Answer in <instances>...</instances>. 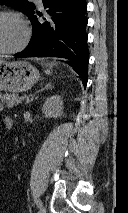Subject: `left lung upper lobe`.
I'll return each mask as SVG.
<instances>
[{
    "label": "left lung upper lobe",
    "instance_id": "obj_1",
    "mask_svg": "<svg viewBox=\"0 0 128 213\" xmlns=\"http://www.w3.org/2000/svg\"><path fill=\"white\" fill-rule=\"evenodd\" d=\"M0 4H5L7 6L17 8L18 10L25 13L28 17L35 9L33 3H30L28 0H0Z\"/></svg>",
    "mask_w": 128,
    "mask_h": 213
}]
</instances>
